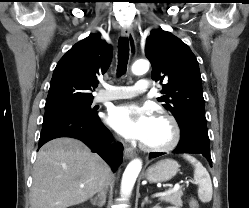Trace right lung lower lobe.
<instances>
[{
    "mask_svg": "<svg viewBox=\"0 0 249 208\" xmlns=\"http://www.w3.org/2000/svg\"><path fill=\"white\" fill-rule=\"evenodd\" d=\"M58 137H72L84 142L93 152L98 153L116 171L122 162L123 145L112 146V136L102 124L98 114L93 117L75 113L47 112L39 139L40 148L46 142Z\"/></svg>",
    "mask_w": 249,
    "mask_h": 208,
    "instance_id": "98d812e1",
    "label": "right lung lower lobe"
}]
</instances>
